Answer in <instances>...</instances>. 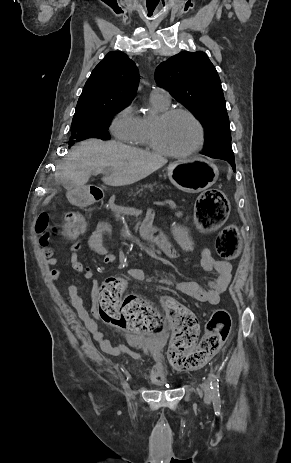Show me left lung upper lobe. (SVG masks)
<instances>
[{
	"label": "left lung upper lobe",
	"mask_w": 291,
	"mask_h": 463,
	"mask_svg": "<svg viewBox=\"0 0 291 463\" xmlns=\"http://www.w3.org/2000/svg\"><path fill=\"white\" fill-rule=\"evenodd\" d=\"M155 80L201 122L206 143L202 154L234 158L226 102L214 65L202 51H182L162 62Z\"/></svg>",
	"instance_id": "left-lung-upper-lobe-1"
}]
</instances>
